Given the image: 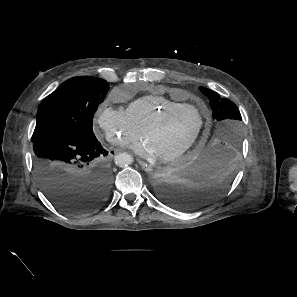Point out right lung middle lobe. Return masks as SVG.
I'll use <instances>...</instances> for the list:
<instances>
[{
	"label": "right lung middle lobe",
	"mask_w": 297,
	"mask_h": 297,
	"mask_svg": "<svg viewBox=\"0 0 297 297\" xmlns=\"http://www.w3.org/2000/svg\"><path fill=\"white\" fill-rule=\"evenodd\" d=\"M108 90V83L96 77H73L65 81L40 104L32 139L54 132H73L95 139L93 116Z\"/></svg>",
	"instance_id": "right-lung-middle-lobe-1"
}]
</instances>
